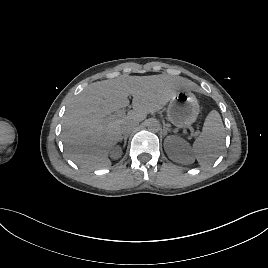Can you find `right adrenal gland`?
<instances>
[{
    "label": "right adrenal gland",
    "instance_id": "obj_1",
    "mask_svg": "<svg viewBox=\"0 0 268 268\" xmlns=\"http://www.w3.org/2000/svg\"><path fill=\"white\" fill-rule=\"evenodd\" d=\"M122 140H124V145H123V147H125V146H126V143H127V137H126V136L121 137L120 140H119V142H122Z\"/></svg>",
    "mask_w": 268,
    "mask_h": 268
}]
</instances>
